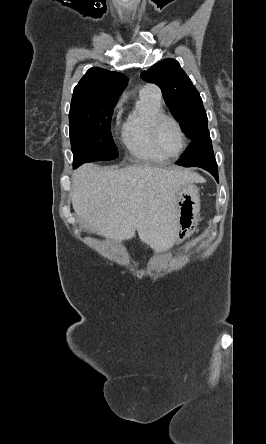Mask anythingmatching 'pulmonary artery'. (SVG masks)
<instances>
[{
    "label": "pulmonary artery",
    "instance_id": "pulmonary-artery-1",
    "mask_svg": "<svg viewBox=\"0 0 266 444\" xmlns=\"http://www.w3.org/2000/svg\"><path fill=\"white\" fill-rule=\"evenodd\" d=\"M141 92L149 93L161 98V91L156 85H146L142 88Z\"/></svg>",
    "mask_w": 266,
    "mask_h": 444
}]
</instances>
